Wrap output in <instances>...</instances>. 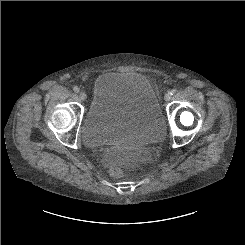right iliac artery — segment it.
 I'll return each instance as SVG.
<instances>
[{
  "instance_id": "obj_1",
  "label": "right iliac artery",
  "mask_w": 245,
  "mask_h": 245,
  "mask_svg": "<svg viewBox=\"0 0 245 245\" xmlns=\"http://www.w3.org/2000/svg\"><path fill=\"white\" fill-rule=\"evenodd\" d=\"M73 90H74V92H76V93L79 92V88H78L77 86H75V87L73 88Z\"/></svg>"
}]
</instances>
